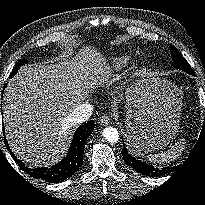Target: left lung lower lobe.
Returning <instances> with one entry per match:
<instances>
[{"mask_svg":"<svg viewBox=\"0 0 205 205\" xmlns=\"http://www.w3.org/2000/svg\"><path fill=\"white\" fill-rule=\"evenodd\" d=\"M191 75H194V73ZM122 156H123L124 162L127 165L133 167L137 172L143 175H147L150 177H158L168 172L166 168H163L162 170L156 169L151 165H148L146 163H143L137 160L135 157L129 154L127 148L125 147L122 150Z\"/></svg>","mask_w":205,"mask_h":205,"instance_id":"1","label":"left lung lower lobe"}]
</instances>
